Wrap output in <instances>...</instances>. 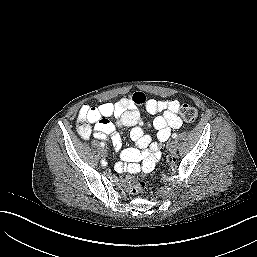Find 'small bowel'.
Here are the masks:
<instances>
[{
    "label": "small bowel",
    "instance_id": "small-bowel-1",
    "mask_svg": "<svg viewBox=\"0 0 257 257\" xmlns=\"http://www.w3.org/2000/svg\"><path fill=\"white\" fill-rule=\"evenodd\" d=\"M140 108H144L150 114H160L152 122V126L158 131V142L152 141V138L144 133ZM179 111L180 103L177 100L148 99L144 93L135 92L116 102L83 106L78 115L77 131L83 139L91 136L106 139L109 136L116 152L127 162L118 164V170L147 172L154 168L161 156L159 144L169 138L172 129H179L182 126ZM110 117H114L115 122H112ZM117 127L131 128L130 138L137 148H122L121 137L116 132Z\"/></svg>",
    "mask_w": 257,
    "mask_h": 257
}]
</instances>
